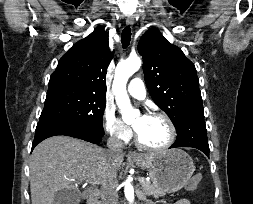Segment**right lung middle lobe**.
<instances>
[{"instance_id": "obj_1", "label": "right lung middle lobe", "mask_w": 253, "mask_h": 204, "mask_svg": "<svg viewBox=\"0 0 253 204\" xmlns=\"http://www.w3.org/2000/svg\"><path fill=\"white\" fill-rule=\"evenodd\" d=\"M106 97L65 85L49 86L40 121L63 122L103 131Z\"/></svg>"}]
</instances>
